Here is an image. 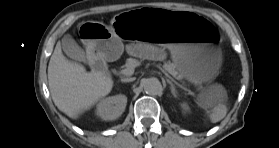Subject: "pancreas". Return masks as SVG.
<instances>
[{
    "instance_id": "cf45deb5",
    "label": "pancreas",
    "mask_w": 279,
    "mask_h": 148,
    "mask_svg": "<svg viewBox=\"0 0 279 148\" xmlns=\"http://www.w3.org/2000/svg\"><path fill=\"white\" fill-rule=\"evenodd\" d=\"M136 63L140 64L139 61H137L136 59L130 58L126 61L125 64V69H134L135 67H137L138 65H136ZM163 68L169 73L171 74L173 77L180 79L182 76L179 73L178 67L175 63H172L170 61H167L163 64Z\"/></svg>"
}]
</instances>
